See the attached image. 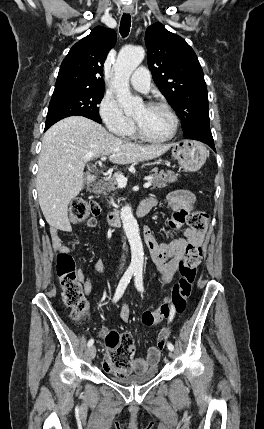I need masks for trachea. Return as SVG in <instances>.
I'll return each mask as SVG.
<instances>
[{
  "mask_svg": "<svg viewBox=\"0 0 264 429\" xmlns=\"http://www.w3.org/2000/svg\"><path fill=\"white\" fill-rule=\"evenodd\" d=\"M131 27V16L128 13H124L120 23V34L122 37H127Z\"/></svg>",
  "mask_w": 264,
  "mask_h": 429,
  "instance_id": "obj_1",
  "label": "trachea"
}]
</instances>
